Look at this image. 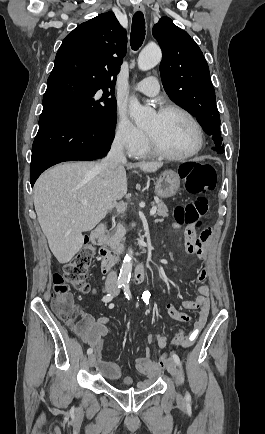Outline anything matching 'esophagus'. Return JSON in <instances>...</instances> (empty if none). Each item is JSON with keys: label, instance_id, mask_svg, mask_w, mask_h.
<instances>
[{"label": "esophagus", "instance_id": "34e87169", "mask_svg": "<svg viewBox=\"0 0 265 434\" xmlns=\"http://www.w3.org/2000/svg\"><path fill=\"white\" fill-rule=\"evenodd\" d=\"M134 10H135V12L143 11L144 7H143L142 4H138V5L135 6Z\"/></svg>", "mask_w": 265, "mask_h": 434}]
</instances>
